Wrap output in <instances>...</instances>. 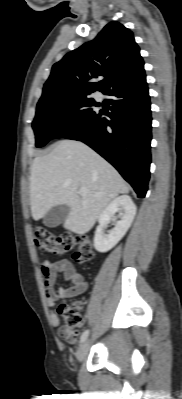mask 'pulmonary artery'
Returning <instances> with one entry per match:
<instances>
[{
    "label": "pulmonary artery",
    "instance_id": "pulmonary-artery-1",
    "mask_svg": "<svg viewBox=\"0 0 182 399\" xmlns=\"http://www.w3.org/2000/svg\"><path fill=\"white\" fill-rule=\"evenodd\" d=\"M96 97L100 99L102 97V93L101 92H97L96 93Z\"/></svg>",
    "mask_w": 182,
    "mask_h": 399
}]
</instances>
